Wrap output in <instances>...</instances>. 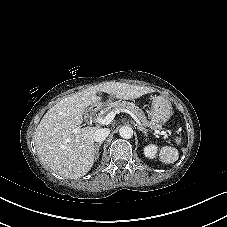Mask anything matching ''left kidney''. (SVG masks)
Here are the masks:
<instances>
[{
    "mask_svg": "<svg viewBox=\"0 0 227 227\" xmlns=\"http://www.w3.org/2000/svg\"><path fill=\"white\" fill-rule=\"evenodd\" d=\"M156 153H157V147L154 144L147 145L144 148V154L148 158H151V159L155 158L156 157Z\"/></svg>",
    "mask_w": 227,
    "mask_h": 227,
    "instance_id": "obj_1",
    "label": "left kidney"
}]
</instances>
